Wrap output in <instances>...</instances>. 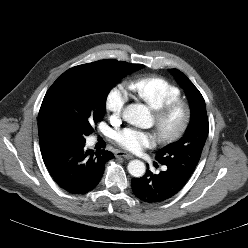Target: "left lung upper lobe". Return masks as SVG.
I'll return each instance as SVG.
<instances>
[{
	"mask_svg": "<svg viewBox=\"0 0 248 248\" xmlns=\"http://www.w3.org/2000/svg\"><path fill=\"white\" fill-rule=\"evenodd\" d=\"M184 88L191 107V120L184 136L156 153V160L175 169L185 180L194 172L205 145L209 123L203 96L193 83L179 70L170 69Z\"/></svg>",
	"mask_w": 248,
	"mask_h": 248,
	"instance_id": "5c2ea615",
	"label": "left lung upper lobe"
}]
</instances>
